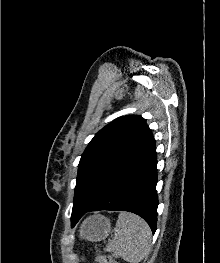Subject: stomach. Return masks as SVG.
<instances>
[{"instance_id":"stomach-1","label":"stomach","mask_w":220,"mask_h":263,"mask_svg":"<svg viewBox=\"0 0 220 263\" xmlns=\"http://www.w3.org/2000/svg\"><path fill=\"white\" fill-rule=\"evenodd\" d=\"M111 230L110 220L102 215H93L83 221L80 227L82 239L97 242L105 239Z\"/></svg>"}]
</instances>
